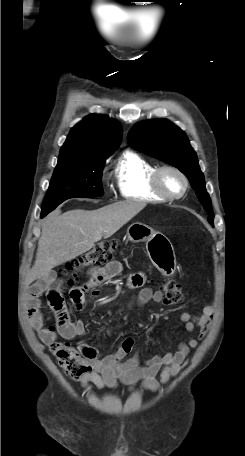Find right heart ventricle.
Masks as SVG:
<instances>
[{
  "instance_id": "1",
  "label": "right heart ventricle",
  "mask_w": 245,
  "mask_h": 456,
  "mask_svg": "<svg viewBox=\"0 0 245 456\" xmlns=\"http://www.w3.org/2000/svg\"><path fill=\"white\" fill-rule=\"evenodd\" d=\"M155 165L133 152H125L114 169V178L119 194L127 200L159 202L162 197L150 187V175Z\"/></svg>"
}]
</instances>
